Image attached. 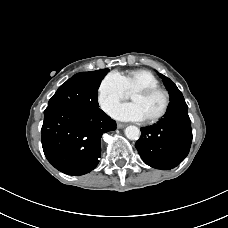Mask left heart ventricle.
I'll list each match as a JSON object with an SVG mask.
<instances>
[{"label":"left heart ventricle","mask_w":228,"mask_h":228,"mask_svg":"<svg viewBox=\"0 0 228 228\" xmlns=\"http://www.w3.org/2000/svg\"><path fill=\"white\" fill-rule=\"evenodd\" d=\"M131 101L137 104L142 110L145 119L151 118L158 114L163 107V98L159 94L151 96H143L140 94H132Z\"/></svg>","instance_id":"obj_1"}]
</instances>
